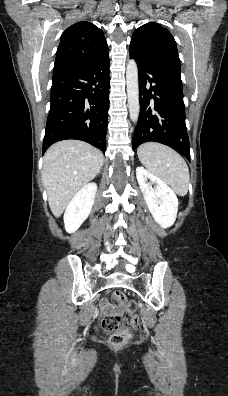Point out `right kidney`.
<instances>
[{"label": "right kidney", "mask_w": 228, "mask_h": 396, "mask_svg": "<svg viewBox=\"0 0 228 396\" xmlns=\"http://www.w3.org/2000/svg\"><path fill=\"white\" fill-rule=\"evenodd\" d=\"M97 192V184L89 183L72 198L64 213L65 230L74 233L89 216Z\"/></svg>", "instance_id": "obj_1"}]
</instances>
